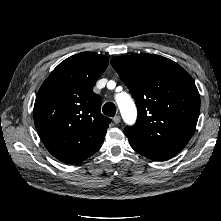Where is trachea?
<instances>
[{
    "label": "trachea",
    "instance_id": "1",
    "mask_svg": "<svg viewBox=\"0 0 221 221\" xmlns=\"http://www.w3.org/2000/svg\"><path fill=\"white\" fill-rule=\"evenodd\" d=\"M102 111L106 116L113 117L116 114V106L112 102H107L104 104Z\"/></svg>",
    "mask_w": 221,
    "mask_h": 221
}]
</instances>
